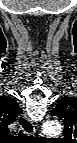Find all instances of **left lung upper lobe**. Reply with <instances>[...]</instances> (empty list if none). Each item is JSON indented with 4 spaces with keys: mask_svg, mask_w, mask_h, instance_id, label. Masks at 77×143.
I'll return each mask as SVG.
<instances>
[{
    "mask_svg": "<svg viewBox=\"0 0 77 143\" xmlns=\"http://www.w3.org/2000/svg\"><path fill=\"white\" fill-rule=\"evenodd\" d=\"M52 116L59 117L64 123V136L74 138L77 134V98L63 97L51 112Z\"/></svg>",
    "mask_w": 77,
    "mask_h": 143,
    "instance_id": "left-lung-upper-lobe-1",
    "label": "left lung upper lobe"
}]
</instances>
